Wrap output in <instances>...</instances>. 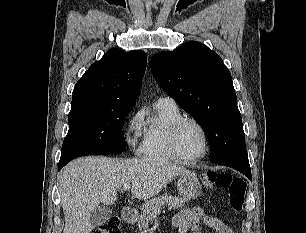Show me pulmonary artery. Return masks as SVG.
Instances as JSON below:
<instances>
[{
    "instance_id": "1",
    "label": "pulmonary artery",
    "mask_w": 306,
    "mask_h": 233,
    "mask_svg": "<svg viewBox=\"0 0 306 233\" xmlns=\"http://www.w3.org/2000/svg\"><path fill=\"white\" fill-rule=\"evenodd\" d=\"M157 101L168 102L170 104H176L175 101L171 97H169V96H161V97L158 98Z\"/></svg>"
}]
</instances>
